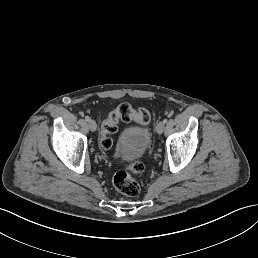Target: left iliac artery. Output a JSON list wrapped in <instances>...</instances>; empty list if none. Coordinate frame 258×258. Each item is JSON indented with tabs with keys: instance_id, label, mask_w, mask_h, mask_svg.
I'll return each mask as SVG.
<instances>
[{
	"instance_id": "1",
	"label": "left iliac artery",
	"mask_w": 258,
	"mask_h": 258,
	"mask_svg": "<svg viewBox=\"0 0 258 258\" xmlns=\"http://www.w3.org/2000/svg\"><path fill=\"white\" fill-rule=\"evenodd\" d=\"M167 122H168V119L165 118V119L163 120V123L166 124Z\"/></svg>"
}]
</instances>
